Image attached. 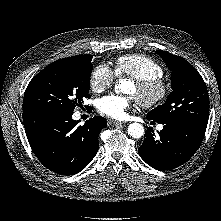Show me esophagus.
<instances>
[{
  "label": "esophagus",
  "mask_w": 221,
  "mask_h": 221,
  "mask_svg": "<svg viewBox=\"0 0 221 221\" xmlns=\"http://www.w3.org/2000/svg\"><path fill=\"white\" fill-rule=\"evenodd\" d=\"M109 124L114 125V126H118V125H124L125 122L110 120Z\"/></svg>",
  "instance_id": "esophagus-1"
}]
</instances>
